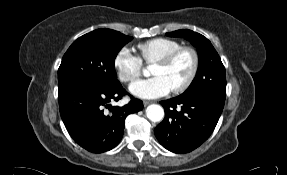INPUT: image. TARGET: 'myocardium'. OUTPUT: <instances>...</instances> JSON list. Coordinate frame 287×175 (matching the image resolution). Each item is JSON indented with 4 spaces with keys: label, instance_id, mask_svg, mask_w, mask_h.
I'll use <instances>...</instances> for the list:
<instances>
[{
    "label": "myocardium",
    "instance_id": "1",
    "mask_svg": "<svg viewBox=\"0 0 287 175\" xmlns=\"http://www.w3.org/2000/svg\"><path fill=\"white\" fill-rule=\"evenodd\" d=\"M189 53L192 56V69L188 75V77L186 78V80L180 84L179 86H177L176 88L172 89V92L174 94H179L184 92L185 90H187L192 83L194 82L198 71H199V67H200V59H199V54L197 52V50L191 46H180L179 48L167 53L166 55L160 57L159 59H157L155 61V64H161V65H169L171 64L180 54L182 53Z\"/></svg>",
    "mask_w": 287,
    "mask_h": 175
}]
</instances>
